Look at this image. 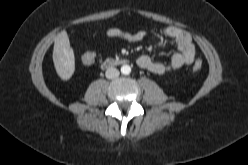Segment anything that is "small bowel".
Here are the masks:
<instances>
[{"instance_id":"1","label":"small bowel","mask_w":248,"mask_h":165,"mask_svg":"<svg viewBox=\"0 0 248 165\" xmlns=\"http://www.w3.org/2000/svg\"><path fill=\"white\" fill-rule=\"evenodd\" d=\"M162 33L175 42L178 52L174 53L169 61H157L149 55H141L137 59V65L140 68L162 75L189 66L195 61L196 48L187 31L175 26H168L163 29ZM106 36L129 43H137L145 39L146 32H128L119 28H111L106 31Z\"/></svg>"}]
</instances>
